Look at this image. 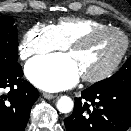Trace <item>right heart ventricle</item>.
<instances>
[{"instance_id":"1","label":"right heart ventricle","mask_w":131,"mask_h":131,"mask_svg":"<svg viewBox=\"0 0 131 131\" xmlns=\"http://www.w3.org/2000/svg\"><path fill=\"white\" fill-rule=\"evenodd\" d=\"M106 26L105 23L95 19L72 17L61 18L53 25L59 40L64 46L90 30Z\"/></svg>"}]
</instances>
